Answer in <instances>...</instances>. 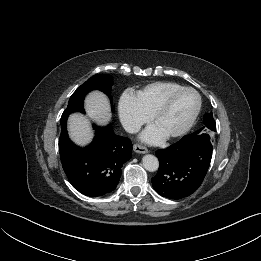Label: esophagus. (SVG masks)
Returning <instances> with one entry per match:
<instances>
[{
    "instance_id": "esophagus-1",
    "label": "esophagus",
    "mask_w": 261,
    "mask_h": 261,
    "mask_svg": "<svg viewBox=\"0 0 261 261\" xmlns=\"http://www.w3.org/2000/svg\"><path fill=\"white\" fill-rule=\"evenodd\" d=\"M133 150L136 152V153H140V154H145V153H148V149L140 144H134L133 145Z\"/></svg>"
}]
</instances>
